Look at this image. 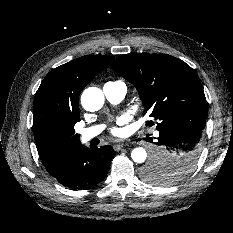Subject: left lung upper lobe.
<instances>
[{
    "label": "left lung upper lobe",
    "mask_w": 233,
    "mask_h": 233,
    "mask_svg": "<svg viewBox=\"0 0 233 233\" xmlns=\"http://www.w3.org/2000/svg\"><path fill=\"white\" fill-rule=\"evenodd\" d=\"M111 68L132 83L145 111L156 119L157 129L185 122L204 124L207 101L194 69L182 60L167 54H124ZM197 161L182 159L175 166L151 161L142 170V177L152 183L171 185L186 177Z\"/></svg>",
    "instance_id": "obj_1"
}]
</instances>
